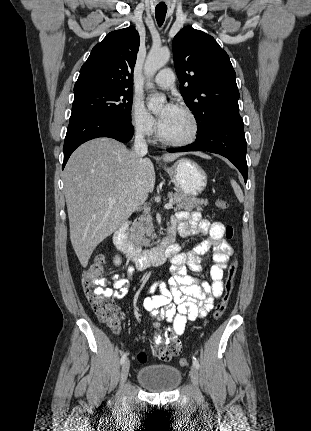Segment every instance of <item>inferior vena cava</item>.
I'll list each match as a JSON object with an SVG mask.
<instances>
[{
    "label": "inferior vena cava",
    "mask_w": 311,
    "mask_h": 431,
    "mask_svg": "<svg viewBox=\"0 0 311 431\" xmlns=\"http://www.w3.org/2000/svg\"><path fill=\"white\" fill-rule=\"evenodd\" d=\"M133 150L138 158H143L148 152V144L145 140V130L143 126H138V128H136Z\"/></svg>",
    "instance_id": "602c4592"
}]
</instances>
